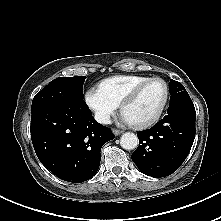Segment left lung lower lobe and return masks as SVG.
<instances>
[{
	"mask_svg": "<svg viewBox=\"0 0 221 221\" xmlns=\"http://www.w3.org/2000/svg\"><path fill=\"white\" fill-rule=\"evenodd\" d=\"M196 112L192 100L170 104L167 115L151 129L137 132L139 146L131 155L145 175L165 177L186 159L195 138Z\"/></svg>",
	"mask_w": 221,
	"mask_h": 221,
	"instance_id": "left-lung-lower-lobe-1",
	"label": "left lung lower lobe"
}]
</instances>
